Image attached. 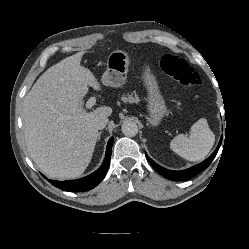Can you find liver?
I'll return each mask as SVG.
<instances>
[{
    "instance_id": "obj_1",
    "label": "liver",
    "mask_w": 249,
    "mask_h": 249,
    "mask_svg": "<svg viewBox=\"0 0 249 249\" xmlns=\"http://www.w3.org/2000/svg\"><path fill=\"white\" fill-rule=\"evenodd\" d=\"M84 52L69 56L46 70L26 95L22 109L27 150L40 170L51 178L73 179L89 165L96 141L98 118L112 108L84 109L88 85L101 86L81 65Z\"/></svg>"
}]
</instances>
